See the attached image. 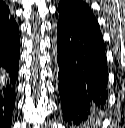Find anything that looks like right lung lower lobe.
<instances>
[{
	"label": "right lung lower lobe",
	"instance_id": "98d812e1",
	"mask_svg": "<svg viewBox=\"0 0 125 128\" xmlns=\"http://www.w3.org/2000/svg\"><path fill=\"white\" fill-rule=\"evenodd\" d=\"M19 57V28L14 22L0 29V126L2 128H11Z\"/></svg>",
	"mask_w": 125,
	"mask_h": 128
}]
</instances>
